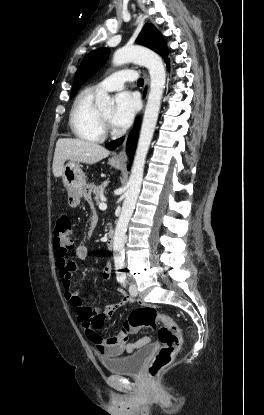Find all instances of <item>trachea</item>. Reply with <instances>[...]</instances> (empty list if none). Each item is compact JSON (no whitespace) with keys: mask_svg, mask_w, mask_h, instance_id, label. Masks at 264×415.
I'll return each instance as SVG.
<instances>
[{"mask_svg":"<svg viewBox=\"0 0 264 415\" xmlns=\"http://www.w3.org/2000/svg\"><path fill=\"white\" fill-rule=\"evenodd\" d=\"M144 84V80L142 78H139L137 81V85H143Z\"/></svg>","mask_w":264,"mask_h":415,"instance_id":"3493384b","label":"trachea"}]
</instances>
